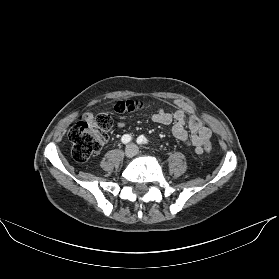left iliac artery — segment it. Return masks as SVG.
I'll use <instances>...</instances> for the list:
<instances>
[{"label": "left iliac artery", "mask_w": 279, "mask_h": 279, "mask_svg": "<svg viewBox=\"0 0 279 279\" xmlns=\"http://www.w3.org/2000/svg\"><path fill=\"white\" fill-rule=\"evenodd\" d=\"M137 143L138 144H147V139L141 135L137 138Z\"/></svg>", "instance_id": "left-iliac-artery-1"}]
</instances>
